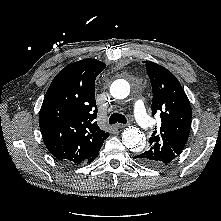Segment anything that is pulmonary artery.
<instances>
[{"label":"pulmonary artery","mask_w":221,"mask_h":221,"mask_svg":"<svg viewBox=\"0 0 221 221\" xmlns=\"http://www.w3.org/2000/svg\"><path fill=\"white\" fill-rule=\"evenodd\" d=\"M134 116L143 129H148L150 127L151 120L147 115L144 104L141 100L136 101L134 105Z\"/></svg>","instance_id":"obj_1"}]
</instances>
